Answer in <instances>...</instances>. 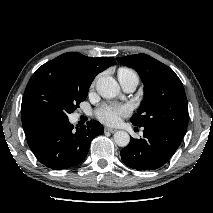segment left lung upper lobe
Wrapping results in <instances>:
<instances>
[{"label":"left lung upper lobe","instance_id":"left-lung-upper-lobe-1","mask_svg":"<svg viewBox=\"0 0 213 213\" xmlns=\"http://www.w3.org/2000/svg\"><path fill=\"white\" fill-rule=\"evenodd\" d=\"M139 74L145 97L131 122L138 127L170 128L185 134L188 103L183 84L170 67L146 54L116 58Z\"/></svg>","mask_w":213,"mask_h":213}]
</instances>
